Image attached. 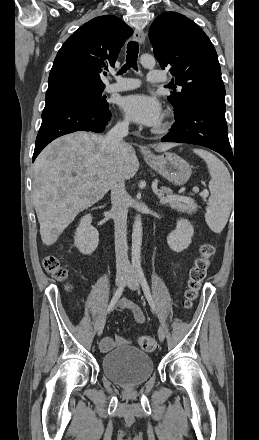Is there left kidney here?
Masks as SVG:
<instances>
[{
    "mask_svg": "<svg viewBox=\"0 0 259 440\" xmlns=\"http://www.w3.org/2000/svg\"><path fill=\"white\" fill-rule=\"evenodd\" d=\"M193 234L194 229L191 223L187 219H179L176 229L169 233L167 243L173 251L179 253L188 248Z\"/></svg>",
    "mask_w": 259,
    "mask_h": 440,
    "instance_id": "obj_1",
    "label": "left kidney"
}]
</instances>
